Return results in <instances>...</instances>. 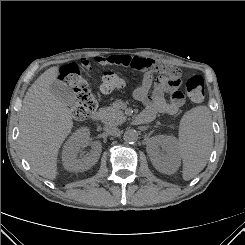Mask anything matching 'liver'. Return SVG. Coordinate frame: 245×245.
Returning a JSON list of instances; mask_svg holds the SVG:
<instances>
[{
	"label": "liver",
	"instance_id": "1",
	"mask_svg": "<svg viewBox=\"0 0 245 245\" xmlns=\"http://www.w3.org/2000/svg\"><path fill=\"white\" fill-rule=\"evenodd\" d=\"M58 75L59 68L51 67L31 85L19 120L24 157L37 174L50 180L57 176L58 152L73 127L70 109L50 90Z\"/></svg>",
	"mask_w": 245,
	"mask_h": 245
}]
</instances>
